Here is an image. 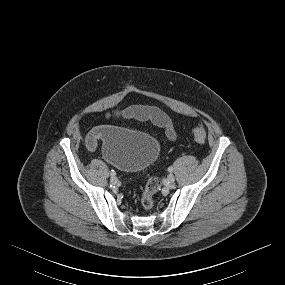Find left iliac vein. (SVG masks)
<instances>
[{"label":"left iliac vein","instance_id":"left-iliac-vein-1","mask_svg":"<svg viewBox=\"0 0 285 285\" xmlns=\"http://www.w3.org/2000/svg\"><path fill=\"white\" fill-rule=\"evenodd\" d=\"M167 181L170 183V184H173L175 182V177L173 174H169L167 176Z\"/></svg>","mask_w":285,"mask_h":285}]
</instances>
